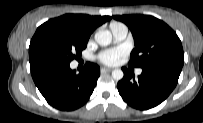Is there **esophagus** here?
Segmentation results:
<instances>
[{
	"mask_svg": "<svg viewBox=\"0 0 203 123\" xmlns=\"http://www.w3.org/2000/svg\"><path fill=\"white\" fill-rule=\"evenodd\" d=\"M101 70L102 71H112L113 69L109 68V67H102Z\"/></svg>",
	"mask_w": 203,
	"mask_h": 123,
	"instance_id": "esophagus-1",
	"label": "esophagus"
}]
</instances>
